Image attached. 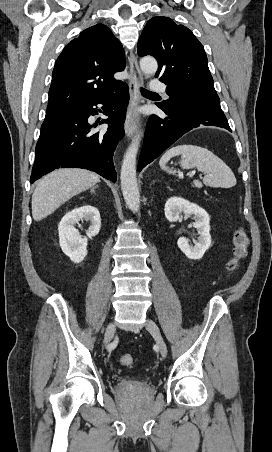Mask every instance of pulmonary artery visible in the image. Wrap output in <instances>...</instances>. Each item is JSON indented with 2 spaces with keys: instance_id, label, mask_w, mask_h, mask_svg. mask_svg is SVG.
<instances>
[{
  "instance_id": "obj_1",
  "label": "pulmonary artery",
  "mask_w": 272,
  "mask_h": 452,
  "mask_svg": "<svg viewBox=\"0 0 272 452\" xmlns=\"http://www.w3.org/2000/svg\"><path fill=\"white\" fill-rule=\"evenodd\" d=\"M152 91L164 92L166 90V84L162 81L153 80L150 85Z\"/></svg>"
}]
</instances>
